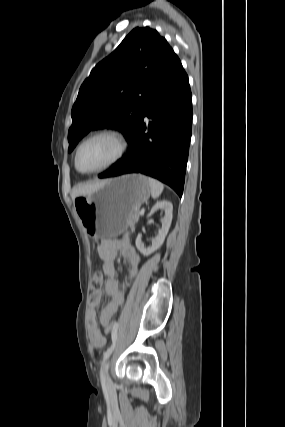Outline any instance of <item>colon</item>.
<instances>
[{
	"label": "colon",
	"mask_w": 285,
	"mask_h": 427,
	"mask_svg": "<svg viewBox=\"0 0 285 427\" xmlns=\"http://www.w3.org/2000/svg\"><path fill=\"white\" fill-rule=\"evenodd\" d=\"M103 281H104V279H103L102 273L99 271H95L91 277V282H90L91 289L92 290L100 289L103 285ZM115 330H116V324L115 325L109 324L106 326V329H105L106 333H108V334L109 333L113 334L115 332Z\"/></svg>",
	"instance_id": "colon-1"
}]
</instances>
